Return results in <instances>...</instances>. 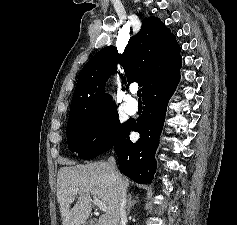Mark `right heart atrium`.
<instances>
[{
	"label": "right heart atrium",
	"mask_w": 237,
	"mask_h": 225,
	"mask_svg": "<svg viewBox=\"0 0 237 225\" xmlns=\"http://www.w3.org/2000/svg\"><path fill=\"white\" fill-rule=\"evenodd\" d=\"M104 130H105V128H104V127H101V128H100V133H102Z\"/></svg>",
	"instance_id": "obj_1"
}]
</instances>
